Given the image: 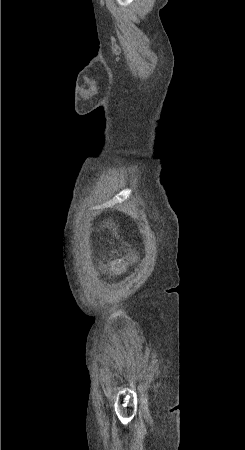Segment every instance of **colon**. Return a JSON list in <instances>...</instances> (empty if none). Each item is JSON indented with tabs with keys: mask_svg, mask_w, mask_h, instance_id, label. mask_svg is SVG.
<instances>
[{
	"mask_svg": "<svg viewBox=\"0 0 245 450\" xmlns=\"http://www.w3.org/2000/svg\"><path fill=\"white\" fill-rule=\"evenodd\" d=\"M127 265V260L125 258H119L113 261L112 268L116 271H120Z\"/></svg>",
	"mask_w": 245,
	"mask_h": 450,
	"instance_id": "5ec220e1",
	"label": "colon"
}]
</instances>
